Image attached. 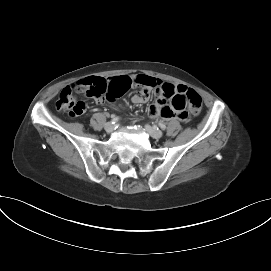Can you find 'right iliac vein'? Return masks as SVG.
<instances>
[{
  "mask_svg": "<svg viewBox=\"0 0 271 271\" xmlns=\"http://www.w3.org/2000/svg\"><path fill=\"white\" fill-rule=\"evenodd\" d=\"M104 128L107 133H111L114 130V125L111 122H108L105 124Z\"/></svg>",
  "mask_w": 271,
  "mask_h": 271,
  "instance_id": "right-iliac-vein-1",
  "label": "right iliac vein"
}]
</instances>
